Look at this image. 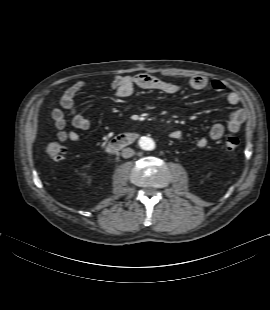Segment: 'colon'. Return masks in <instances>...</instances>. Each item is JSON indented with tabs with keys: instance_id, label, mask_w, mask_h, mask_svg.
Returning <instances> with one entry per match:
<instances>
[{
	"instance_id": "1",
	"label": "colon",
	"mask_w": 270,
	"mask_h": 310,
	"mask_svg": "<svg viewBox=\"0 0 270 310\" xmlns=\"http://www.w3.org/2000/svg\"><path fill=\"white\" fill-rule=\"evenodd\" d=\"M240 145V140L236 136H229L225 140V147L229 151L236 150ZM66 149L59 143L51 142L46 147V154L52 160L58 161L63 158Z\"/></svg>"
}]
</instances>
